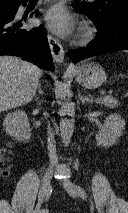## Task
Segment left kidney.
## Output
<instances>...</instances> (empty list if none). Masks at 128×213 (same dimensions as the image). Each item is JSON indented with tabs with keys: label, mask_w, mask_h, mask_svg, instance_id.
I'll use <instances>...</instances> for the list:
<instances>
[{
	"label": "left kidney",
	"mask_w": 128,
	"mask_h": 213,
	"mask_svg": "<svg viewBox=\"0 0 128 213\" xmlns=\"http://www.w3.org/2000/svg\"><path fill=\"white\" fill-rule=\"evenodd\" d=\"M125 128V121L118 114H111L106 118L102 128L96 134L98 145L111 147L118 138L122 136Z\"/></svg>",
	"instance_id": "5707ae66"
}]
</instances>
